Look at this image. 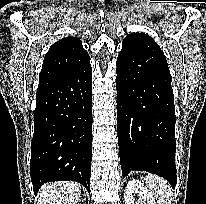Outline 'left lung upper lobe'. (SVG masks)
<instances>
[{
  "mask_svg": "<svg viewBox=\"0 0 206 204\" xmlns=\"http://www.w3.org/2000/svg\"><path fill=\"white\" fill-rule=\"evenodd\" d=\"M119 56L125 59L128 67L137 71L143 60H152L167 67V61L159 45L148 34L131 33L122 42Z\"/></svg>",
  "mask_w": 206,
  "mask_h": 204,
  "instance_id": "1",
  "label": "left lung upper lobe"
}]
</instances>
